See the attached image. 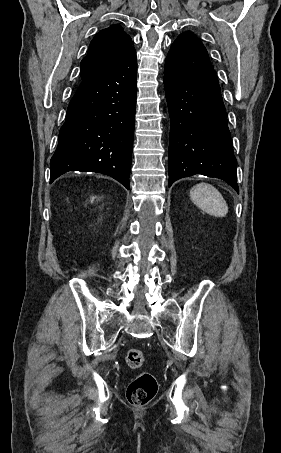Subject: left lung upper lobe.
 <instances>
[{"mask_svg": "<svg viewBox=\"0 0 281 453\" xmlns=\"http://www.w3.org/2000/svg\"><path fill=\"white\" fill-rule=\"evenodd\" d=\"M184 34H190V32H184V33H182L181 35H184Z\"/></svg>", "mask_w": 281, "mask_h": 453, "instance_id": "obj_1", "label": "left lung upper lobe"}]
</instances>
